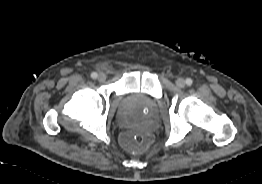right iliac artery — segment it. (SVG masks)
Instances as JSON below:
<instances>
[{"label": "right iliac artery", "instance_id": "1", "mask_svg": "<svg viewBox=\"0 0 262 184\" xmlns=\"http://www.w3.org/2000/svg\"><path fill=\"white\" fill-rule=\"evenodd\" d=\"M97 76H98V74H97L96 72H92V73H91V77H92L93 79H96Z\"/></svg>", "mask_w": 262, "mask_h": 184}]
</instances>
